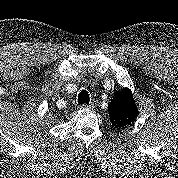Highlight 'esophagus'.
Returning a JSON list of instances; mask_svg holds the SVG:
<instances>
[{"instance_id": "esophagus-1", "label": "esophagus", "mask_w": 178, "mask_h": 178, "mask_svg": "<svg viewBox=\"0 0 178 178\" xmlns=\"http://www.w3.org/2000/svg\"><path fill=\"white\" fill-rule=\"evenodd\" d=\"M91 108H93V105H92V104H90V105L82 104V105L80 106V109H91Z\"/></svg>"}]
</instances>
